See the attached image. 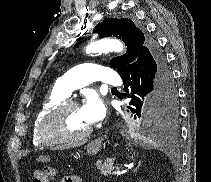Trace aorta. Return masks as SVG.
<instances>
[{"label": "aorta", "instance_id": "1", "mask_svg": "<svg viewBox=\"0 0 211 182\" xmlns=\"http://www.w3.org/2000/svg\"><path fill=\"white\" fill-rule=\"evenodd\" d=\"M124 45L116 39L104 38L90 43L86 48V53H107V52H122Z\"/></svg>", "mask_w": 211, "mask_h": 182}]
</instances>
